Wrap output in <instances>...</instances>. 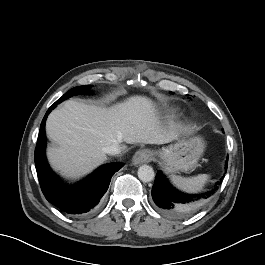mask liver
<instances>
[{"mask_svg":"<svg viewBox=\"0 0 265 265\" xmlns=\"http://www.w3.org/2000/svg\"><path fill=\"white\" fill-rule=\"evenodd\" d=\"M46 133L57 144L47 150L52 167L71 178L101 165L112 144H164L175 138L161 128L152 100L144 96L110 108L66 101L49 115Z\"/></svg>","mask_w":265,"mask_h":265,"instance_id":"1","label":"liver"}]
</instances>
